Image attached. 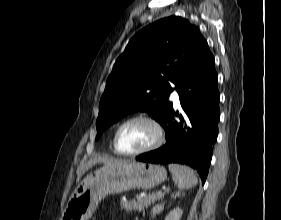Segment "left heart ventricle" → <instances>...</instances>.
Segmentation results:
<instances>
[{
  "label": "left heart ventricle",
  "instance_id": "left-heart-ventricle-1",
  "mask_svg": "<svg viewBox=\"0 0 281 220\" xmlns=\"http://www.w3.org/2000/svg\"><path fill=\"white\" fill-rule=\"evenodd\" d=\"M155 138L156 131L150 123L135 121L121 130L118 146L121 151L134 152L149 146Z\"/></svg>",
  "mask_w": 281,
  "mask_h": 220
}]
</instances>
